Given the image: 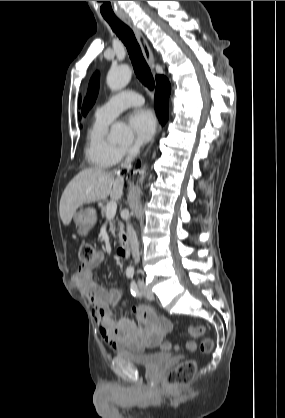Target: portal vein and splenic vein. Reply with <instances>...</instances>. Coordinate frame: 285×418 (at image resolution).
<instances>
[{
	"mask_svg": "<svg viewBox=\"0 0 285 418\" xmlns=\"http://www.w3.org/2000/svg\"><path fill=\"white\" fill-rule=\"evenodd\" d=\"M116 210H117V204L115 201L112 200L109 203H107V206H106L107 219H112L116 214Z\"/></svg>",
	"mask_w": 285,
	"mask_h": 418,
	"instance_id": "1",
	"label": "portal vein and splenic vein"
}]
</instances>
